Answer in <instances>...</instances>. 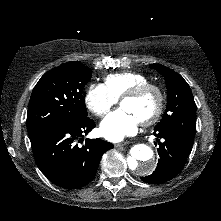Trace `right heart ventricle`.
Masks as SVG:
<instances>
[{"label": "right heart ventricle", "mask_w": 221, "mask_h": 221, "mask_svg": "<svg viewBox=\"0 0 221 221\" xmlns=\"http://www.w3.org/2000/svg\"><path fill=\"white\" fill-rule=\"evenodd\" d=\"M147 82H149V78L146 75L126 71L106 76L104 86L116 99H120L129 90Z\"/></svg>", "instance_id": "right-heart-ventricle-1"}]
</instances>
